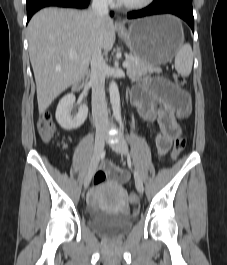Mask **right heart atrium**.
<instances>
[{
	"instance_id": "obj_1",
	"label": "right heart atrium",
	"mask_w": 227,
	"mask_h": 265,
	"mask_svg": "<svg viewBox=\"0 0 227 265\" xmlns=\"http://www.w3.org/2000/svg\"><path fill=\"white\" fill-rule=\"evenodd\" d=\"M100 3L105 4V5H109L112 3L113 0H98Z\"/></svg>"
}]
</instances>
